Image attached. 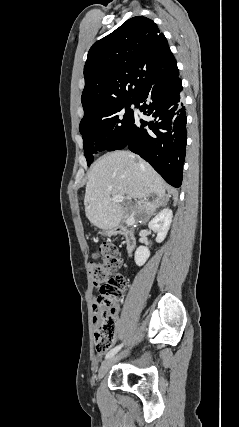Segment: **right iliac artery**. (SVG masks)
<instances>
[{"mask_svg":"<svg viewBox=\"0 0 239 427\" xmlns=\"http://www.w3.org/2000/svg\"><path fill=\"white\" fill-rule=\"evenodd\" d=\"M122 346H123V344H120V345L116 346L115 348H113L112 350H110L106 355V359L114 356L121 349Z\"/></svg>","mask_w":239,"mask_h":427,"instance_id":"obj_1","label":"right iliac artery"}]
</instances>
